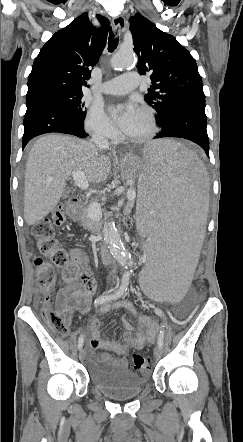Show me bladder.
<instances>
[{
  "instance_id": "1",
  "label": "bladder",
  "mask_w": 243,
  "mask_h": 442,
  "mask_svg": "<svg viewBox=\"0 0 243 442\" xmlns=\"http://www.w3.org/2000/svg\"><path fill=\"white\" fill-rule=\"evenodd\" d=\"M88 375L93 386L106 397L125 401L138 396L144 389L146 379L113 358L104 355L92 361Z\"/></svg>"
}]
</instances>
